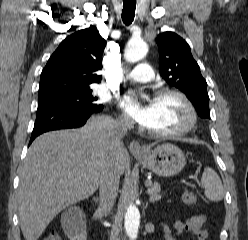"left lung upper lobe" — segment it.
<instances>
[{"mask_svg": "<svg viewBox=\"0 0 248 240\" xmlns=\"http://www.w3.org/2000/svg\"><path fill=\"white\" fill-rule=\"evenodd\" d=\"M156 43L163 79L186 94L201 118L209 119L207 83L191 54L190 46L174 32L159 34Z\"/></svg>", "mask_w": 248, "mask_h": 240, "instance_id": "5c2ea615", "label": "left lung upper lobe"}]
</instances>
